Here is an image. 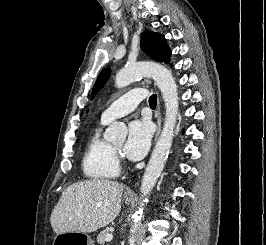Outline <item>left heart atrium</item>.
<instances>
[{
  "instance_id": "left-heart-atrium-1",
  "label": "left heart atrium",
  "mask_w": 266,
  "mask_h": 245,
  "mask_svg": "<svg viewBox=\"0 0 266 245\" xmlns=\"http://www.w3.org/2000/svg\"><path fill=\"white\" fill-rule=\"evenodd\" d=\"M152 136L151 124L148 120H134L129 123L127 138L123 146L125 157L138 161L146 154Z\"/></svg>"
}]
</instances>
